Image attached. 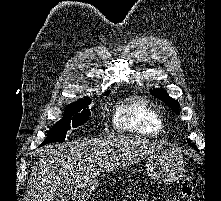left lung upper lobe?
Listing matches in <instances>:
<instances>
[{
  "label": "left lung upper lobe",
  "instance_id": "5c2ea615",
  "mask_svg": "<svg viewBox=\"0 0 221 201\" xmlns=\"http://www.w3.org/2000/svg\"><path fill=\"white\" fill-rule=\"evenodd\" d=\"M151 94L155 96L156 98L162 100L165 102L174 112L179 113V104L176 100L171 98L168 93L165 90L162 89H155L151 91ZM190 146L194 147V145L190 142L187 141ZM197 150V148L195 147Z\"/></svg>",
  "mask_w": 221,
  "mask_h": 201
}]
</instances>
